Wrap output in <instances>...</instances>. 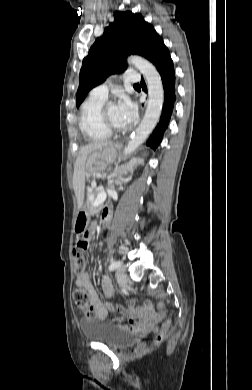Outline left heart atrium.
Segmentation results:
<instances>
[{"mask_svg": "<svg viewBox=\"0 0 252 390\" xmlns=\"http://www.w3.org/2000/svg\"><path fill=\"white\" fill-rule=\"evenodd\" d=\"M119 114L123 122L128 125L132 123L137 115L135 104L126 96H121L117 104Z\"/></svg>", "mask_w": 252, "mask_h": 390, "instance_id": "obj_1", "label": "left heart atrium"}]
</instances>
